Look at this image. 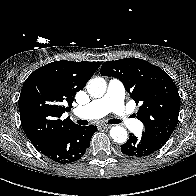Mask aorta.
<instances>
[{
	"instance_id": "obj_1",
	"label": "aorta",
	"mask_w": 196,
	"mask_h": 196,
	"mask_svg": "<svg viewBox=\"0 0 196 196\" xmlns=\"http://www.w3.org/2000/svg\"><path fill=\"white\" fill-rule=\"evenodd\" d=\"M106 88V81L100 77L93 78L87 83V91L94 98L102 97L106 92ZM110 136L117 143H125L128 138L126 129L121 126L112 127Z\"/></svg>"
}]
</instances>
